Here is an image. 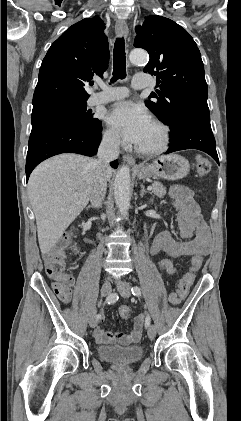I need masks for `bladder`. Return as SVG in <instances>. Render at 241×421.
<instances>
[{
  "mask_svg": "<svg viewBox=\"0 0 241 421\" xmlns=\"http://www.w3.org/2000/svg\"><path fill=\"white\" fill-rule=\"evenodd\" d=\"M98 356L111 364L130 365L139 362L144 355V350L140 345L130 346H108L97 347Z\"/></svg>",
  "mask_w": 241,
  "mask_h": 421,
  "instance_id": "1",
  "label": "bladder"
}]
</instances>
